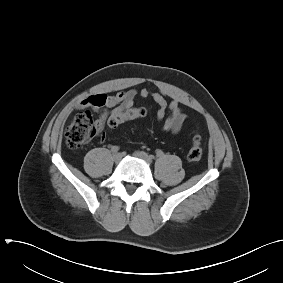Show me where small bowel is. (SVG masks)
<instances>
[{
  "label": "small bowel",
  "instance_id": "1",
  "mask_svg": "<svg viewBox=\"0 0 283 283\" xmlns=\"http://www.w3.org/2000/svg\"><path fill=\"white\" fill-rule=\"evenodd\" d=\"M148 98L151 97L157 104L158 110L156 119L163 122L162 130L172 134H177L185 119L186 115L180 107V102L176 98L167 100V95L163 91H151L147 88L141 90L129 89L126 91H119L114 95L107 94H93L77 104V109L83 110L92 108L98 112L96 120L97 132H100L105 126L109 117L113 114L125 111L134 106L137 97Z\"/></svg>",
  "mask_w": 283,
  "mask_h": 283
}]
</instances>
